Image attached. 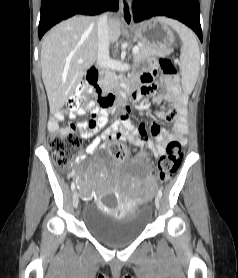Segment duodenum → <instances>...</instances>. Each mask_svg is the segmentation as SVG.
Returning <instances> with one entry per match:
<instances>
[{
    "mask_svg": "<svg viewBox=\"0 0 238 278\" xmlns=\"http://www.w3.org/2000/svg\"><path fill=\"white\" fill-rule=\"evenodd\" d=\"M99 70L97 67H92L88 70L86 80L93 88L98 104L103 108H108L117 105L118 107H126L129 99L125 95H120L114 92L104 90L98 82ZM134 98V95L132 96Z\"/></svg>",
    "mask_w": 238,
    "mask_h": 278,
    "instance_id": "1",
    "label": "duodenum"
}]
</instances>
